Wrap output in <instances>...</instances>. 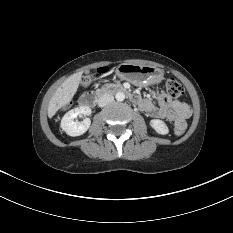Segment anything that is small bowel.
<instances>
[{
    "label": "small bowel",
    "mask_w": 233,
    "mask_h": 233,
    "mask_svg": "<svg viewBox=\"0 0 233 233\" xmlns=\"http://www.w3.org/2000/svg\"><path fill=\"white\" fill-rule=\"evenodd\" d=\"M114 82L116 84H121L123 82V77L121 75H116L114 77ZM153 96L157 100V105L149 99L142 98H139L137 104L148 115L154 118L168 120L173 122L175 127H182L185 129L186 120L192 113L191 107L182 101L172 100L162 93L154 92Z\"/></svg>",
    "instance_id": "c3829d8e"
}]
</instances>
